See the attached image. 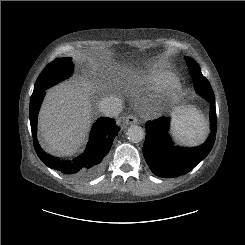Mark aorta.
I'll return each mask as SVG.
<instances>
[{
  "label": "aorta",
  "mask_w": 245,
  "mask_h": 245,
  "mask_svg": "<svg viewBox=\"0 0 245 245\" xmlns=\"http://www.w3.org/2000/svg\"><path fill=\"white\" fill-rule=\"evenodd\" d=\"M126 135L132 142L138 143L144 139V130L137 125H132L128 128Z\"/></svg>",
  "instance_id": "762f6f07"
}]
</instances>
